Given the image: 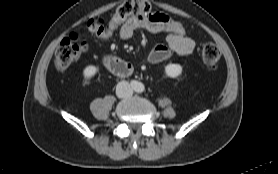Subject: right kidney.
<instances>
[{"instance_id":"obj_1","label":"right kidney","mask_w":278,"mask_h":174,"mask_svg":"<svg viewBox=\"0 0 278 174\" xmlns=\"http://www.w3.org/2000/svg\"><path fill=\"white\" fill-rule=\"evenodd\" d=\"M97 72V68L94 65H88L83 70V77L85 79H91Z\"/></svg>"}]
</instances>
